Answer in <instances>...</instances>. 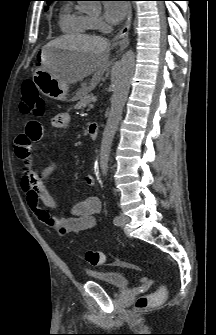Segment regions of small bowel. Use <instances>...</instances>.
Segmentation results:
<instances>
[{
	"mask_svg": "<svg viewBox=\"0 0 216 335\" xmlns=\"http://www.w3.org/2000/svg\"><path fill=\"white\" fill-rule=\"evenodd\" d=\"M68 123L69 115L67 113H59L52 118V124L56 128H64ZM42 132L43 120H28L24 133L18 137L16 142V152L20 159L23 178L22 189L27 205L41 223L59 234L85 231L94 225L95 216L101 209L100 200L97 197L90 196L76 203L71 208V215L66 218L55 217L46 210V208H58L57 202L45 186V181L55 172L56 165L51 164L40 173L35 169L32 144L38 143ZM84 182L87 186H93L95 178L92 175H87Z\"/></svg>",
	"mask_w": 216,
	"mask_h": 335,
	"instance_id": "small-bowel-1",
	"label": "small bowel"
}]
</instances>
